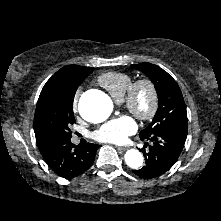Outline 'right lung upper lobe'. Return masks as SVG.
<instances>
[{
    "label": "right lung upper lobe",
    "mask_w": 221,
    "mask_h": 221,
    "mask_svg": "<svg viewBox=\"0 0 221 221\" xmlns=\"http://www.w3.org/2000/svg\"><path fill=\"white\" fill-rule=\"evenodd\" d=\"M91 67H83L78 65H70L61 68L57 71L45 84L38 101H42L45 98L59 93L67 88H70L74 84V80L78 73L86 72ZM38 148L45 147L48 143L41 141L36 137Z\"/></svg>",
    "instance_id": "right-lung-upper-lobe-1"
}]
</instances>
